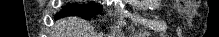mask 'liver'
Masks as SVG:
<instances>
[{
  "label": "liver",
  "mask_w": 219,
  "mask_h": 37,
  "mask_svg": "<svg viewBox=\"0 0 219 37\" xmlns=\"http://www.w3.org/2000/svg\"><path fill=\"white\" fill-rule=\"evenodd\" d=\"M57 29L65 37H93L90 27L78 18H65L57 22Z\"/></svg>",
  "instance_id": "1"
}]
</instances>
